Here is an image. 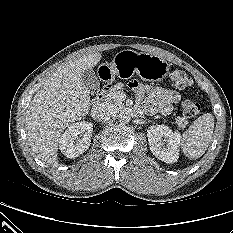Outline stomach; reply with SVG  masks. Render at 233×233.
<instances>
[{"label":"stomach","instance_id":"1","mask_svg":"<svg viewBox=\"0 0 233 233\" xmlns=\"http://www.w3.org/2000/svg\"><path fill=\"white\" fill-rule=\"evenodd\" d=\"M110 72L119 75L127 72L128 76L136 73L144 81H160L169 72L170 65L161 57L149 53H137L134 50L118 52L112 63L106 64Z\"/></svg>","mask_w":233,"mask_h":233}]
</instances>
